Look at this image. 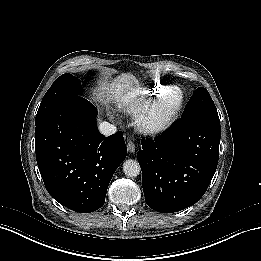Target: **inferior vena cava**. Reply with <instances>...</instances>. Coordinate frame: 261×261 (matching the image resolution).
Listing matches in <instances>:
<instances>
[{
    "mask_svg": "<svg viewBox=\"0 0 261 261\" xmlns=\"http://www.w3.org/2000/svg\"><path fill=\"white\" fill-rule=\"evenodd\" d=\"M98 129H99V132L101 134H103L104 136H110L117 132L115 125L110 124L109 122L100 123Z\"/></svg>",
    "mask_w": 261,
    "mask_h": 261,
    "instance_id": "602c4592",
    "label": "inferior vena cava"
}]
</instances>
